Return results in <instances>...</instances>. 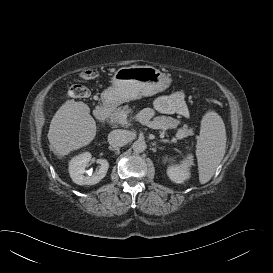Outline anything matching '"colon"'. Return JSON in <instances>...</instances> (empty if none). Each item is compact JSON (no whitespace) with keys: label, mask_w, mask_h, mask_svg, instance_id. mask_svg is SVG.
I'll return each instance as SVG.
<instances>
[{"label":"colon","mask_w":273,"mask_h":273,"mask_svg":"<svg viewBox=\"0 0 273 273\" xmlns=\"http://www.w3.org/2000/svg\"><path fill=\"white\" fill-rule=\"evenodd\" d=\"M97 76L96 69H87L81 73L83 79H93ZM70 93L77 98H85L89 95V90L81 83H75L70 87Z\"/></svg>","instance_id":"obj_1"}]
</instances>
